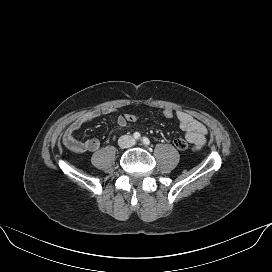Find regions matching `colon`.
Here are the masks:
<instances>
[{
    "mask_svg": "<svg viewBox=\"0 0 272 272\" xmlns=\"http://www.w3.org/2000/svg\"><path fill=\"white\" fill-rule=\"evenodd\" d=\"M162 115L166 119H171L174 117L175 114L174 111L171 109H164L162 111ZM124 117L125 120L129 123H134L138 120V116L136 114L129 113L125 114ZM174 146L179 150H186L188 148V143L185 140L178 138L174 140Z\"/></svg>",
    "mask_w": 272,
    "mask_h": 272,
    "instance_id": "5ec220e1",
    "label": "colon"
}]
</instances>
